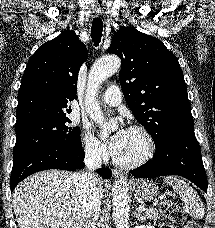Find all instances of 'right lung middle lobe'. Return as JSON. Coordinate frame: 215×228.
Wrapping results in <instances>:
<instances>
[{
  "label": "right lung middle lobe",
  "mask_w": 215,
  "mask_h": 228,
  "mask_svg": "<svg viewBox=\"0 0 215 228\" xmlns=\"http://www.w3.org/2000/svg\"><path fill=\"white\" fill-rule=\"evenodd\" d=\"M67 115L40 116L16 123L13 156L42 145L82 148L80 130L69 125Z\"/></svg>",
  "instance_id": "right-lung-middle-lobe-1"
}]
</instances>
